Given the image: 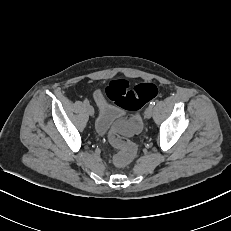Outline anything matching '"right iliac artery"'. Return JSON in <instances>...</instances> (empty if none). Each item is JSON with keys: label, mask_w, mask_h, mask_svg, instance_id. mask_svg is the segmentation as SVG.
I'll return each instance as SVG.
<instances>
[{"label": "right iliac artery", "mask_w": 231, "mask_h": 231, "mask_svg": "<svg viewBox=\"0 0 231 231\" xmlns=\"http://www.w3.org/2000/svg\"><path fill=\"white\" fill-rule=\"evenodd\" d=\"M83 103H84V105H89V101H88L87 99H85V100L83 101Z\"/></svg>", "instance_id": "right-iliac-artery-1"}]
</instances>
